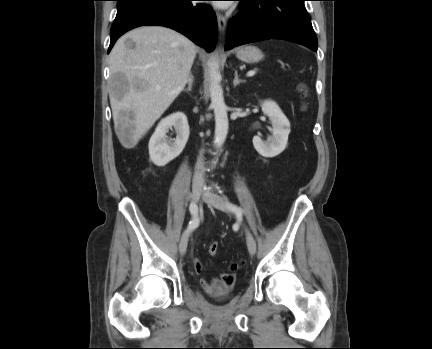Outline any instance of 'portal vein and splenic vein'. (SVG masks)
<instances>
[{
  "label": "portal vein and splenic vein",
  "mask_w": 432,
  "mask_h": 349,
  "mask_svg": "<svg viewBox=\"0 0 432 349\" xmlns=\"http://www.w3.org/2000/svg\"><path fill=\"white\" fill-rule=\"evenodd\" d=\"M256 71L255 70H251L247 73L248 77H252L253 75H255Z\"/></svg>",
  "instance_id": "18ae733b"
}]
</instances>
